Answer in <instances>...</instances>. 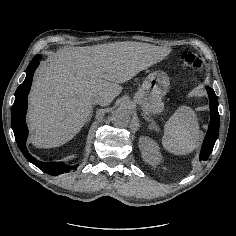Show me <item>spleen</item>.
Instances as JSON below:
<instances>
[{
    "label": "spleen",
    "instance_id": "obj_1",
    "mask_svg": "<svg viewBox=\"0 0 236 236\" xmlns=\"http://www.w3.org/2000/svg\"><path fill=\"white\" fill-rule=\"evenodd\" d=\"M202 135L195 111L188 106H181L164 126L162 144L173 154L185 155L199 146Z\"/></svg>",
    "mask_w": 236,
    "mask_h": 236
}]
</instances>
